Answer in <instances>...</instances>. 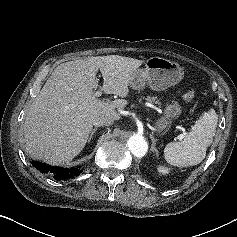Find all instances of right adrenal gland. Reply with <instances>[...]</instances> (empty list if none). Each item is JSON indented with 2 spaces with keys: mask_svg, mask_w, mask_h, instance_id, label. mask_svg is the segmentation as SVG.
Wrapping results in <instances>:
<instances>
[{
  "mask_svg": "<svg viewBox=\"0 0 237 237\" xmlns=\"http://www.w3.org/2000/svg\"><path fill=\"white\" fill-rule=\"evenodd\" d=\"M97 131V128H94L93 130H92V132H91V134H90V137H89V139H88V142H90L91 141V139L93 138V135H94V133Z\"/></svg>",
  "mask_w": 237,
  "mask_h": 237,
  "instance_id": "1",
  "label": "right adrenal gland"
}]
</instances>
